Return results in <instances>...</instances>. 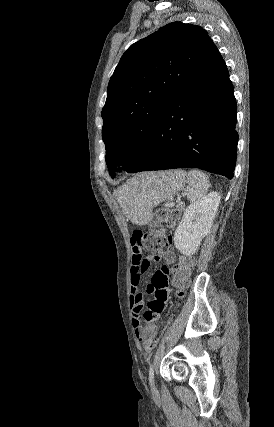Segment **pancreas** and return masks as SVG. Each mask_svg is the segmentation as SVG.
<instances>
[{
  "instance_id": "1",
  "label": "pancreas",
  "mask_w": 274,
  "mask_h": 427,
  "mask_svg": "<svg viewBox=\"0 0 274 427\" xmlns=\"http://www.w3.org/2000/svg\"><path fill=\"white\" fill-rule=\"evenodd\" d=\"M176 210H178V212H183V210H184L183 202H178V204L176 206Z\"/></svg>"
}]
</instances>
